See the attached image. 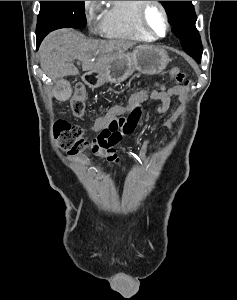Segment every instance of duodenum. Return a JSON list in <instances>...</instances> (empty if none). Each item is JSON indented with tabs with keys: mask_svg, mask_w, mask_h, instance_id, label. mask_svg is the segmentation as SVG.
Wrapping results in <instances>:
<instances>
[{
	"mask_svg": "<svg viewBox=\"0 0 237 300\" xmlns=\"http://www.w3.org/2000/svg\"><path fill=\"white\" fill-rule=\"evenodd\" d=\"M86 83L90 86L97 84V74L95 72L88 73L85 77Z\"/></svg>",
	"mask_w": 237,
	"mask_h": 300,
	"instance_id": "1",
	"label": "duodenum"
}]
</instances>
